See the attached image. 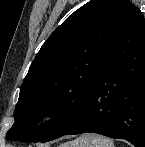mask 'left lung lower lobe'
Listing matches in <instances>:
<instances>
[{
    "label": "left lung lower lobe",
    "instance_id": "left-lung-lower-lobe-1",
    "mask_svg": "<svg viewBox=\"0 0 145 147\" xmlns=\"http://www.w3.org/2000/svg\"><path fill=\"white\" fill-rule=\"evenodd\" d=\"M85 132L145 147V19L133 4L80 118L54 139Z\"/></svg>",
    "mask_w": 145,
    "mask_h": 147
}]
</instances>
